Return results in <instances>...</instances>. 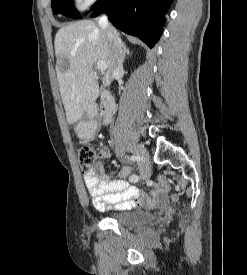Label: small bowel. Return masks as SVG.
Instances as JSON below:
<instances>
[{"mask_svg":"<svg viewBox=\"0 0 247 275\" xmlns=\"http://www.w3.org/2000/svg\"><path fill=\"white\" fill-rule=\"evenodd\" d=\"M109 157V150L102 148L98 155V165L83 176L85 187L97 209L105 210L107 206L115 204L117 210H128L137 206H153L166 202L169 187L162 180L149 181L150 190L144 192L130 186L124 179L131 173L130 167L122 168L116 177L107 175L102 162Z\"/></svg>","mask_w":247,"mask_h":275,"instance_id":"c3829d8e","label":"small bowel"}]
</instances>
